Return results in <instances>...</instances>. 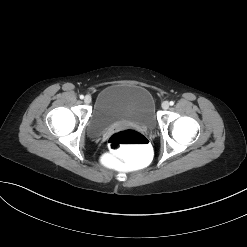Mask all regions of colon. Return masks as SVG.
<instances>
[{
    "mask_svg": "<svg viewBox=\"0 0 247 247\" xmlns=\"http://www.w3.org/2000/svg\"><path fill=\"white\" fill-rule=\"evenodd\" d=\"M99 154V163L114 173H135L151 164L154 148L145 135L124 129L113 133Z\"/></svg>",
    "mask_w": 247,
    "mask_h": 247,
    "instance_id": "colon-1",
    "label": "colon"
}]
</instances>
